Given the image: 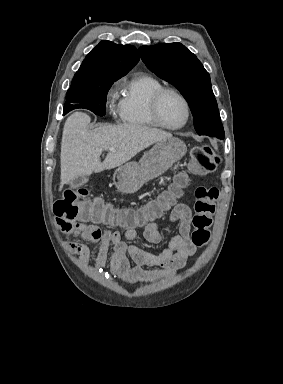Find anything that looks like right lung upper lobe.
I'll use <instances>...</instances> for the list:
<instances>
[{
	"mask_svg": "<svg viewBox=\"0 0 283 384\" xmlns=\"http://www.w3.org/2000/svg\"><path fill=\"white\" fill-rule=\"evenodd\" d=\"M138 61L139 55L134 46L103 40L86 56L70 89L114 83Z\"/></svg>",
	"mask_w": 283,
	"mask_h": 384,
	"instance_id": "cb5924a9",
	"label": "right lung upper lobe"
}]
</instances>
